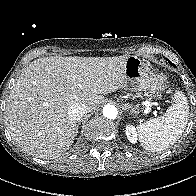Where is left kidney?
<instances>
[{
  "label": "left kidney",
  "mask_w": 196,
  "mask_h": 196,
  "mask_svg": "<svg viewBox=\"0 0 196 196\" xmlns=\"http://www.w3.org/2000/svg\"><path fill=\"white\" fill-rule=\"evenodd\" d=\"M125 132H126V136H127L128 140L131 143H136L137 142L138 134H137L136 128L134 126L127 125Z\"/></svg>",
  "instance_id": "5707ae66"
}]
</instances>
